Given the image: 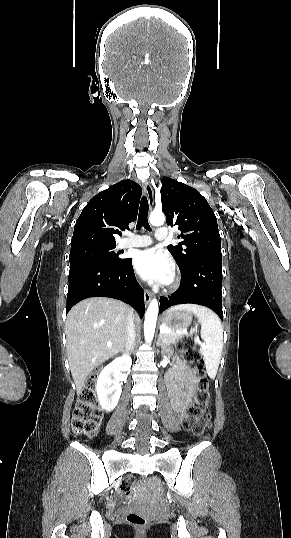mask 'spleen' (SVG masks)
Wrapping results in <instances>:
<instances>
[{"label":"spleen","instance_id":"1","mask_svg":"<svg viewBox=\"0 0 291 538\" xmlns=\"http://www.w3.org/2000/svg\"><path fill=\"white\" fill-rule=\"evenodd\" d=\"M185 310L195 314L201 323L204 341L200 352L204 357L206 372L211 379L216 377L223 348V328L217 315L210 309L196 304H180L169 311Z\"/></svg>","mask_w":291,"mask_h":538}]
</instances>
